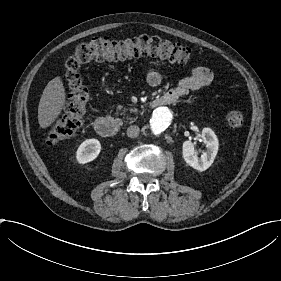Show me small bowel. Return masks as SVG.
<instances>
[{
    "label": "small bowel",
    "mask_w": 281,
    "mask_h": 281,
    "mask_svg": "<svg viewBox=\"0 0 281 281\" xmlns=\"http://www.w3.org/2000/svg\"><path fill=\"white\" fill-rule=\"evenodd\" d=\"M147 83L150 87L156 88L161 84L162 77L155 68H148L146 73ZM212 79L210 70L204 67H195L192 70L191 76L180 80L176 86L165 96L154 97L148 101L150 106H159L161 103H172L188 95L193 90L205 88L209 85Z\"/></svg>",
    "instance_id": "small-bowel-1"
}]
</instances>
